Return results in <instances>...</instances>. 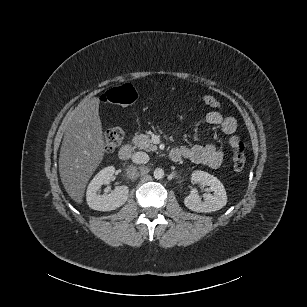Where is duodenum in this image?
Wrapping results in <instances>:
<instances>
[{
    "mask_svg": "<svg viewBox=\"0 0 307 307\" xmlns=\"http://www.w3.org/2000/svg\"><path fill=\"white\" fill-rule=\"evenodd\" d=\"M132 151H133V148L129 144L122 146L118 152L119 159L121 161H127L131 157ZM173 156H174V152L171 151L170 158H172Z\"/></svg>",
    "mask_w": 307,
    "mask_h": 307,
    "instance_id": "duodenum-1",
    "label": "duodenum"
}]
</instances>
